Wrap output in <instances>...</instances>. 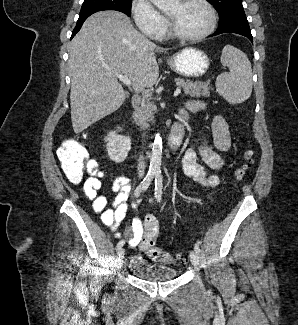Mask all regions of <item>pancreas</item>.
I'll return each instance as SVG.
<instances>
[{"label":"pancreas","mask_w":298,"mask_h":325,"mask_svg":"<svg viewBox=\"0 0 298 325\" xmlns=\"http://www.w3.org/2000/svg\"><path fill=\"white\" fill-rule=\"evenodd\" d=\"M175 82H178V86H182L184 94H190V96H210L211 90H214L210 86V82H201V80H189V78H174ZM157 106L154 102H146L143 106H140L136 112H134V120L136 124H142V126H149L148 120H154V112H156Z\"/></svg>","instance_id":"obj_1"}]
</instances>
